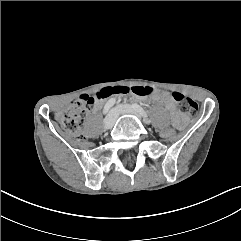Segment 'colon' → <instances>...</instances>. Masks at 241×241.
<instances>
[{
    "mask_svg": "<svg viewBox=\"0 0 241 241\" xmlns=\"http://www.w3.org/2000/svg\"><path fill=\"white\" fill-rule=\"evenodd\" d=\"M151 92L152 88L148 86H114L103 88L95 95L79 96L65 110L57 112L54 117L63 131L73 138L82 139V117L96 101L106 99L113 95H134L138 97H145ZM172 97L178 104L181 111L187 115L194 117L198 114V104L194 100L179 92L173 93ZM156 133L160 138L166 140L173 138L175 134L173 129H165L162 127L159 128Z\"/></svg>",
    "mask_w": 241,
    "mask_h": 241,
    "instance_id": "5ec220e1",
    "label": "colon"
}]
</instances>
